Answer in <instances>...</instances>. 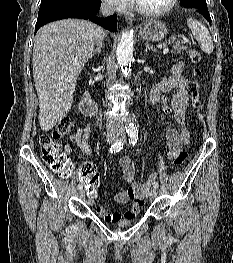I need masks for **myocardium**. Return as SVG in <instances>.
Instances as JSON below:
<instances>
[{"label":"myocardium","mask_w":233,"mask_h":263,"mask_svg":"<svg viewBox=\"0 0 233 263\" xmlns=\"http://www.w3.org/2000/svg\"><path fill=\"white\" fill-rule=\"evenodd\" d=\"M178 0H170V2L168 3V5L161 9V10H157V11H149L146 9H143L142 7H140L136 0H133V8L135 11H137L139 14L146 16V17H160L163 16L167 13H169L170 11H172L174 9V7L176 6Z\"/></svg>","instance_id":"myocardium-1"}]
</instances>
